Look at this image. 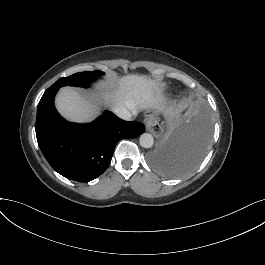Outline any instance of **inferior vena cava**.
Instances as JSON below:
<instances>
[{"label": "inferior vena cava", "instance_id": "602c4592", "mask_svg": "<svg viewBox=\"0 0 265 265\" xmlns=\"http://www.w3.org/2000/svg\"><path fill=\"white\" fill-rule=\"evenodd\" d=\"M113 111L120 119L125 120V121H133L137 117V112L132 114L125 107H116L113 109Z\"/></svg>", "mask_w": 265, "mask_h": 265}]
</instances>
